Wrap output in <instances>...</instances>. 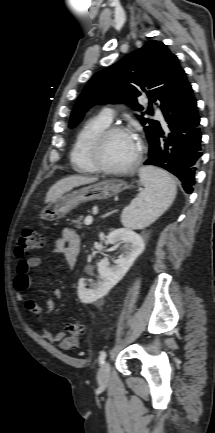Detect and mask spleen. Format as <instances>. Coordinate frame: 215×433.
<instances>
[{
	"label": "spleen",
	"instance_id": "1",
	"mask_svg": "<svg viewBox=\"0 0 215 433\" xmlns=\"http://www.w3.org/2000/svg\"><path fill=\"white\" fill-rule=\"evenodd\" d=\"M139 177L145 189L124 208L121 215L122 224L132 229L149 226L170 207L177 193L173 178L160 168L142 167Z\"/></svg>",
	"mask_w": 215,
	"mask_h": 433
}]
</instances>
